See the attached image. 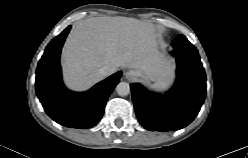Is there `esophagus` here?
I'll return each mask as SVG.
<instances>
[{
	"label": "esophagus",
	"instance_id": "obj_1",
	"mask_svg": "<svg viewBox=\"0 0 248 158\" xmlns=\"http://www.w3.org/2000/svg\"><path fill=\"white\" fill-rule=\"evenodd\" d=\"M124 76H125L126 79L131 80L135 76V72L133 70H130V69L125 70L124 71Z\"/></svg>",
	"mask_w": 248,
	"mask_h": 158
}]
</instances>
